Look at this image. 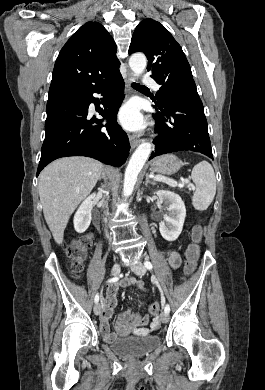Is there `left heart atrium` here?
I'll return each instance as SVG.
<instances>
[{"mask_svg":"<svg viewBox=\"0 0 265 390\" xmlns=\"http://www.w3.org/2000/svg\"><path fill=\"white\" fill-rule=\"evenodd\" d=\"M119 120L129 130H139L144 126L142 115L135 104L125 105L119 113Z\"/></svg>","mask_w":265,"mask_h":390,"instance_id":"39dd6f15","label":"left heart atrium"}]
</instances>
